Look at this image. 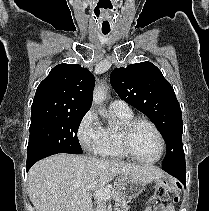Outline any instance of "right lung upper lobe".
Here are the masks:
<instances>
[{
	"label": "right lung upper lobe",
	"instance_id": "1",
	"mask_svg": "<svg viewBox=\"0 0 209 211\" xmlns=\"http://www.w3.org/2000/svg\"><path fill=\"white\" fill-rule=\"evenodd\" d=\"M95 78L78 64H59L40 83L31 116L86 114L92 104Z\"/></svg>",
	"mask_w": 209,
	"mask_h": 211
}]
</instances>
